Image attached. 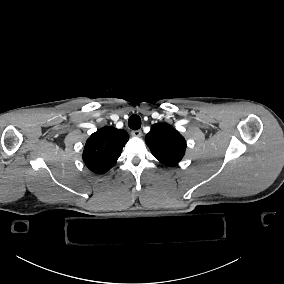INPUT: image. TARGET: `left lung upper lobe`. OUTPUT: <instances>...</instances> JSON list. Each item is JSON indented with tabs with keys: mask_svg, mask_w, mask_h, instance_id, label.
Segmentation results:
<instances>
[{
	"mask_svg": "<svg viewBox=\"0 0 284 284\" xmlns=\"http://www.w3.org/2000/svg\"><path fill=\"white\" fill-rule=\"evenodd\" d=\"M145 142L152 154L167 166L177 164L185 154V139L169 124H154Z\"/></svg>",
	"mask_w": 284,
	"mask_h": 284,
	"instance_id": "1",
	"label": "left lung upper lobe"
}]
</instances>
